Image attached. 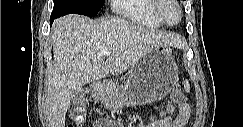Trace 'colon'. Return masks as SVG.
<instances>
[{
  "mask_svg": "<svg viewBox=\"0 0 243 127\" xmlns=\"http://www.w3.org/2000/svg\"><path fill=\"white\" fill-rule=\"evenodd\" d=\"M173 99L179 104L185 102L184 95L179 87L172 93ZM71 123L69 127H82L86 119V106L82 103L72 105L70 108Z\"/></svg>",
  "mask_w": 243,
  "mask_h": 127,
  "instance_id": "obj_1",
  "label": "colon"
}]
</instances>
